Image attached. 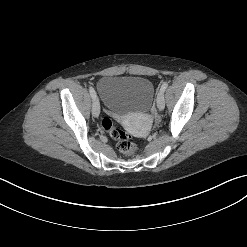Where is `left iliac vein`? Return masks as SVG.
Returning a JSON list of instances; mask_svg holds the SVG:
<instances>
[{
    "label": "left iliac vein",
    "mask_w": 247,
    "mask_h": 247,
    "mask_svg": "<svg viewBox=\"0 0 247 247\" xmlns=\"http://www.w3.org/2000/svg\"><path fill=\"white\" fill-rule=\"evenodd\" d=\"M156 102H157L158 109L160 111H162L165 107V100H164V92L163 91L160 90L158 92Z\"/></svg>",
    "instance_id": "obj_1"
}]
</instances>
